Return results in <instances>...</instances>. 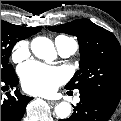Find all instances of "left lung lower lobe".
<instances>
[{
  "label": "left lung lower lobe",
  "instance_id": "0a47b994",
  "mask_svg": "<svg viewBox=\"0 0 121 121\" xmlns=\"http://www.w3.org/2000/svg\"><path fill=\"white\" fill-rule=\"evenodd\" d=\"M79 93L80 103L74 107L73 114L59 121H107L118 105L97 92L82 90Z\"/></svg>",
  "mask_w": 121,
  "mask_h": 121
}]
</instances>
